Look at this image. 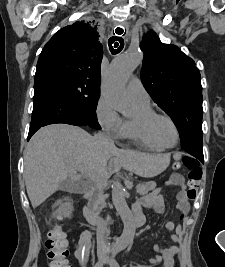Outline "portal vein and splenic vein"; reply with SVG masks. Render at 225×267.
<instances>
[{
  "label": "portal vein and splenic vein",
  "mask_w": 225,
  "mask_h": 267,
  "mask_svg": "<svg viewBox=\"0 0 225 267\" xmlns=\"http://www.w3.org/2000/svg\"><path fill=\"white\" fill-rule=\"evenodd\" d=\"M67 161H68V162H72V160H71V159H67Z\"/></svg>",
  "instance_id": "1"
}]
</instances>
